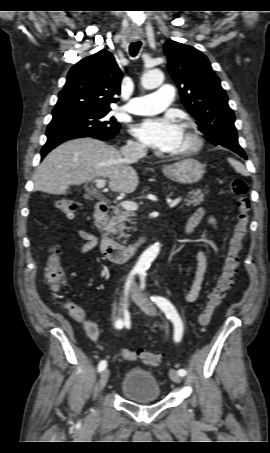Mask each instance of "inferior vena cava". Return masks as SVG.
<instances>
[{
  "mask_svg": "<svg viewBox=\"0 0 270 453\" xmlns=\"http://www.w3.org/2000/svg\"><path fill=\"white\" fill-rule=\"evenodd\" d=\"M121 153L126 161L137 162L146 155V150L141 144L129 143L121 148Z\"/></svg>",
  "mask_w": 270,
  "mask_h": 453,
  "instance_id": "inferior-vena-cava-1",
  "label": "inferior vena cava"
}]
</instances>
